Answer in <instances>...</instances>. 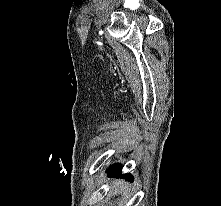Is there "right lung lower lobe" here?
<instances>
[{
    "label": "right lung lower lobe",
    "instance_id": "98d812e1",
    "mask_svg": "<svg viewBox=\"0 0 221 206\" xmlns=\"http://www.w3.org/2000/svg\"><path fill=\"white\" fill-rule=\"evenodd\" d=\"M108 176L112 177H125L127 180L132 181L133 178L132 176L128 175H123L121 172V166L119 164H115L109 167V170L107 172Z\"/></svg>",
    "mask_w": 221,
    "mask_h": 206
}]
</instances>
